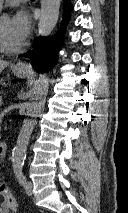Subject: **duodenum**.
Masks as SVG:
<instances>
[{
    "label": "duodenum",
    "mask_w": 128,
    "mask_h": 213,
    "mask_svg": "<svg viewBox=\"0 0 128 213\" xmlns=\"http://www.w3.org/2000/svg\"><path fill=\"white\" fill-rule=\"evenodd\" d=\"M8 150V144L5 141H0V157H4Z\"/></svg>",
    "instance_id": "410a0bca"
}]
</instances>
